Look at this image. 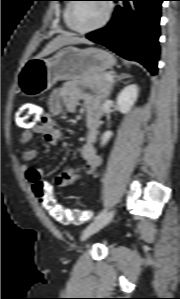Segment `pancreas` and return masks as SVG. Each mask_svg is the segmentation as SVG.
Listing matches in <instances>:
<instances>
[{"instance_id":"obj_1","label":"pancreas","mask_w":180,"mask_h":299,"mask_svg":"<svg viewBox=\"0 0 180 299\" xmlns=\"http://www.w3.org/2000/svg\"><path fill=\"white\" fill-rule=\"evenodd\" d=\"M109 74L111 73H92L85 76L83 80L91 89L97 91L102 98H106L112 87V82L107 80Z\"/></svg>"}]
</instances>
